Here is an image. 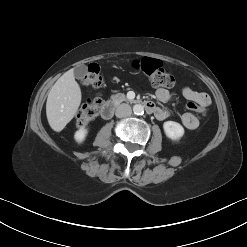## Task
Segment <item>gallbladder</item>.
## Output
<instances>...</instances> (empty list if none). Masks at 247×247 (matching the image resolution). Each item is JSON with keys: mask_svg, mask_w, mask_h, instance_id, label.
Returning a JSON list of instances; mask_svg holds the SVG:
<instances>
[{"mask_svg": "<svg viewBox=\"0 0 247 247\" xmlns=\"http://www.w3.org/2000/svg\"><path fill=\"white\" fill-rule=\"evenodd\" d=\"M86 73H87V68L85 65L77 66L74 69V76L77 78L83 77Z\"/></svg>", "mask_w": 247, "mask_h": 247, "instance_id": "gallbladder-1", "label": "gallbladder"}]
</instances>
